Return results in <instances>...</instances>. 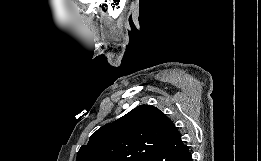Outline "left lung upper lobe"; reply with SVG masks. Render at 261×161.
I'll list each match as a JSON object with an SVG mask.
<instances>
[{"mask_svg": "<svg viewBox=\"0 0 261 161\" xmlns=\"http://www.w3.org/2000/svg\"><path fill=\"white\" fill-rule=\"evenodd\" d=\"M172 121L152 105H140L98 129L82 145L76 161H149L175 133Z\"/></svg>", "mask_w": 261, "mask_h": 161, "instance_id": "obj_1", "label": "left lung upper lobe"}]
</instances>
